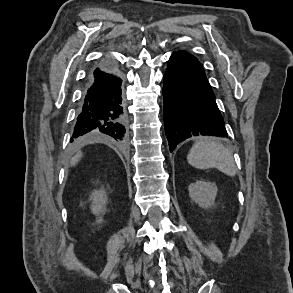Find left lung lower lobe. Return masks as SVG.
I'll use <instances>...</instances> for the list:
<instances>
[{"instance_id": "1", "label": "left lung lower lobe", "mask_w": 293, "mask_h": 293, "mask_svg": "<svg viewBox=\"0 0 293 293\" xmlns=\"http://www.w3.org/2000/svg\"><path fill=\"white\" fill-rule=\"evenodd\" d=\"M163 79L164 125L170 152L192 136L227 137L215 95L197 58L185 51L173 53Z\"/></svg>"}]
</instances>
